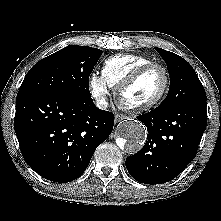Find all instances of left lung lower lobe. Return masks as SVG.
Masks as SVG:
<instances>
[{"mask_svg":"<svg viewBox=\"0 0 221 221\" xmlns=\"http://www.w3.org/2000/svg\"><path fill=\"white\" fill-rule=\"evenodd\" d=\"M137 119L146 125L148 140L138 153L126 159L127 170L138 182L165 183L178 176L196 156L206 129V101L159 105Z\"/></svg>","mask_w":221,"mask_h":221,"instance_id":"0a47b994","label":"left lung lower lobe"}]
</instances>
